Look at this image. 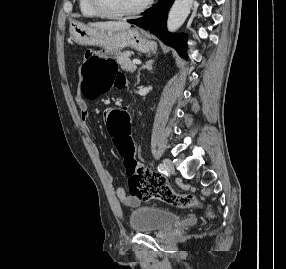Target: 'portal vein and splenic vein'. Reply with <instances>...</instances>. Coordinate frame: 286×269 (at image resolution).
I'll return each instance as SVG.
<instances>
[{
    "label": "portal vein and splenic vein",
    "instance_id": "18ae733b",
    "mask_svg": "<svg viewBox=\"0 0 286 269\" xmlns=\"http://www.w3.org/2000/svg\"><path fill=\"white\" fill-rule=\"evenodd\" d=\"M133 63L139 65V64H141V61L139 59H134Z\"/></svg>",
    "mask_w": 286,
    "mask_h": 269
}]
</instances>
